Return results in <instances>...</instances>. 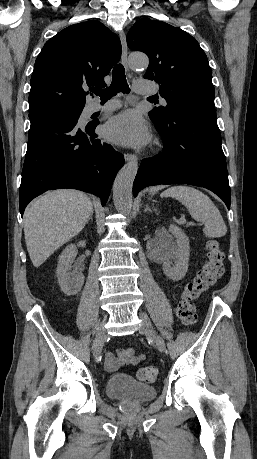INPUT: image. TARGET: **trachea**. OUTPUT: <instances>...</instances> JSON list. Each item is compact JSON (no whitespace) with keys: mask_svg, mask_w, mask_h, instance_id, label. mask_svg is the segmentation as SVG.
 Wrapping results in <instances>:
<instances>
[{"mask_svg":"<svg viewBox=\"0 0 257 459\" xmlns=\"http://www.w3.org/2000/svg\"><path fill=\"white\" fill-rule=\"evenodd\" d=\"M94 94L100 96L102 102H105L115 96L118 92L129 93L130 88L126 81L125 69L123 65L117 64L112 71V83L105 89H94Z\"/></svg>","mask_w":257,"mask_h":459,"instance_id":"obj_1","label":"trachea"}]
</instances>
